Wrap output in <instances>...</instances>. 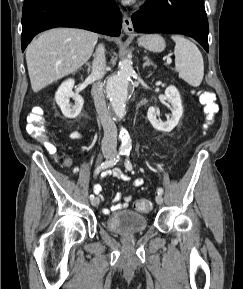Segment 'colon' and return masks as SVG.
<instances>
[{
  "label": "colon",
  "mask_w": 243,
  "mask_h": 289,
  "mask_svg": "<svg viewBox=\"0 0 243 289\" xmlns=\"http://www.w3.org/2000/svg\"><path fill=\"white\" fill-rule=\"evenodd\" d=\"M199 101L203 106L206 117V127L212 125L215 115L218 112V105L214 93L210 91H202L199 93ZM28 134L42 142L49 151H54V146L49 142L44 125V113L40 107L33 108L27 117ZM134 208L139 212H148L151 209V203L145 199L136 200Z\"/></svg>",
  "instance_id": "obj_1"
}]
</instances>
